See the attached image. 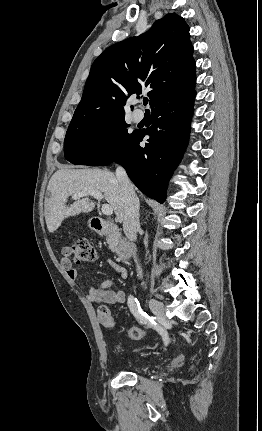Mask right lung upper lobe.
<instances>
[{
    "mask_svg": "<svg viewBox=\"0 0 262 431\" xmlns=\"http://www.w3.org/2000/svg\"><path fill=\"white\" fill-rule=\"evenodd\" d=\"M189 38L183 18L171 13L146 33L108 47L91 66L71 122L125 116L127 98L143 87L151 89L152 110L191 92L196 75Z\"/></svg>",
    "mask_w": 262,
    "mask_h": 431,
    "instance_id": "1",
    "label": "right lung upper lobe"
}]
</instances>
